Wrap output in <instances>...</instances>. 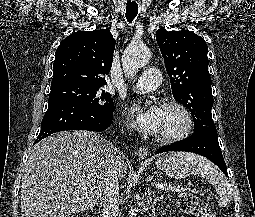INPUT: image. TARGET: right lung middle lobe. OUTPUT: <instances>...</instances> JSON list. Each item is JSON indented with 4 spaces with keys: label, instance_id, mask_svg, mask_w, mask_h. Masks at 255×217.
Wrapping results in <instances>:
<instances>
[{
    "label": "right lung middle lobe",
    "instance_id": "right-lung-middle-lobe-1",
    "mask_svg": "<svg viewBox=\"0 0 255 217\" xmlns=\"http://www.w3.org/2000/svg\"><path fill=\"white\" fill-rule=\"evenodd\" d=\"M66 100L81 106L91 108L98 112H113V100L111 95L98 86H86L81 84H62L51 87L49 102Z\"/></svg>",
    "mask_w": 255,
    "mask_h": 217
}]
</instances>
